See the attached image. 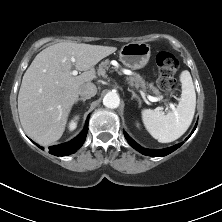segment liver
<instances>
[{"label": "liver", "mask_w": 222, "mask_h": 222, "mask_svg": "<svg viewBox=\"0 0 222 222\" xmlns=\"http://www.w3.org/2000/svg\"><path fill=\"white\" fill-rule=\"evenodd\" d=\"M116 49L61 42L37 54L23 76L18 94L19 118L25 133L42 145L59 140L80 88L96 78L94 66ZM73 65L83 73L73 76Z\"/></svg>", "instance_id": "liver-1"}]
</instances>
